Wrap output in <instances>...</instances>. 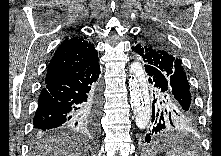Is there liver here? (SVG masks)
Returning a JSON list of instances; mask_svg holds the SVG:
<instances>
[{
	"label": "liver",
	"mask_w": 221,
	"mask_h": 156,
	"mask_svg": "<svg viewBox=\"0 0 221 156\" xmlns=\"http://www.w3.org/2000/svg\"><path fill=\"white\" fill-rule=\"evenodd\" d=\"M88 150V144L79 137L56 134L35 142L31 156H88Z\"/></svg>",
	"instance_id": "liver-1"
}]
</instances>
